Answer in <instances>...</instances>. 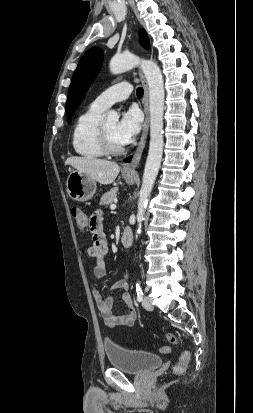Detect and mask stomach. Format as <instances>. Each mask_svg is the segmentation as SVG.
Returning <instances> with one entry per match:
<instances>
[{
  "mask_svg": "<svg viewBox=\"0 0 253 413\" xmlns=\"http://www.w3.org/2000/svg\"><path fill=\"white\" fill-rule=\"evenodd\" d=\"M128 184L134 183V176L123 174ZM66 188L69 197L76 201H88L96 192V181L86 173L72 170L66 180Z\"/></svg>",
  "mask_w": 253,
  "mask_h": 413,
  "instance_id": "obj_1",
  "label": "stomach"
}]
</instances>
